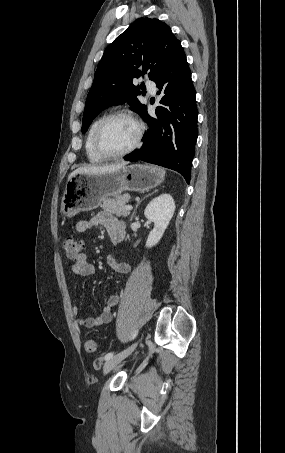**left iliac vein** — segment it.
I'll use <instances>...</instances> for the list:
<instances>
[{"label":"left iliac vein","mask_w":285,"mask_h":453,"mask_svg":"<svg viewBox=\"0 0 285 453\" xmlns=\"http://www.w3.org/2000/svg\"><path fill=\"white\" fill-rule=\"evenodd\" d=\"M139 342H135L127 349L123 350L122 352L114 355L109 360H107L103 366V374H108L114 367H116L122 360L127 358L137 347Z\"/></svg>","instance_id":"obj_1"}]
</instances>
